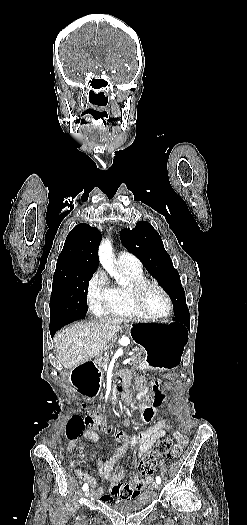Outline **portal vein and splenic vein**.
I'll use <instances>...</instances> for the list:
<instances>
[{"mask_svg": "<svg viewBox=\"0 0 247 525\" xmlns=\"http://www.w3.org/2000/svg\"><path fill=\"white\" fill-rule=\"evenodd\" d=\"M129 356H133V353H129ZM129 361H132V358H125V361H122L121 366H125V364H129ZM103 375H107V367H109V364L103 363Z\"/></svg>", "mask_w": 247, "mask_h": 525, "instance_id": "1", "label": "portal vein and splenic vein"}]
</instances>
